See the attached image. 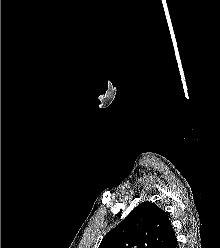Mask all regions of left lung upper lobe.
<instances>
[{
    "label": "left lung upper lobe",
    "instance_id": "obj_1",
    "mask_svg": "<svg viewBox=\"0 0 220 248\" xmlns=\"http://www.w3.org/2000/svg\"><path fill=\"white\" fill-rule=\"evenodd\" d=\"M174 236L167 212L143 202L106 234L99 248H166Z\"/></svg>",
    "mask_w": 220,
    "mask_h": 248
}]
</instances>
